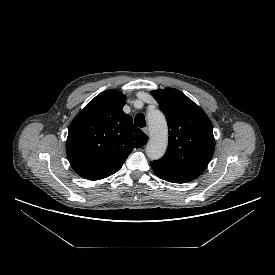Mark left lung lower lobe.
Here are the masks:
<instances>
[{"instance_id":"obj_1","label":"left lung lower lobe","mask_w":275,"mask_h":275,"mask_svg":"<svg viewBox=\"0 0 275 275\" xmlns=\"http://www.w3.org/2000/svg\"><path fill=\"white\" fill-rule=\"evenodd\" d=\"M154 173L161 179L165 180V181H168V182H171V183H185V182H188L187 180L181 178V177H178V176H175L173 174H170V173H167V172H164L162 170H159L153 166H151Z\"/></svg>"}]
</instances>
